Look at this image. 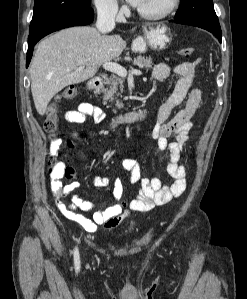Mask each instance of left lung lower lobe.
Returning a JSON list of instances; mask_svg holds the SVG:
<instances>
[{
    "label": "left lung lower lobe",
    "mask_w": 247,
    "mask_h": 299,
    "mask_svg": "<svg viewBox=\"0 0 247 299\" xmlns=\"http://www.w3.org/2000/svg\"><path fill=\"white\" fill-rule=\"evenodd\" d=\"M170 22L203 28L213 33V35H215L218 38L219 42H221V28L219 22H214L205 17L197 15L170 20Z\"/></svg>",
    "instance_id": "1"
}]
</instances>
